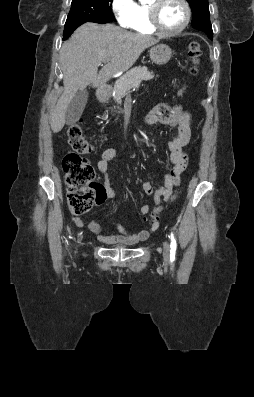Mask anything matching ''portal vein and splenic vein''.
<instances>
[{
  "mask_svg": "<svg viewBox=\"0 0 254 397\" xmlns=\"http://www.w3.org/2000/svg\"><path fill=\"white\" fill-rule=\"evenodd\" d=\"M108 62H109V60H106V61L103 62V64H106V63H108Z\"/></svg>",
  "mask_w": 254,
  "mask_h": 397,
  "instance_id": "portal-vein-and-splenic-vein-1",
  "label": "portal vein and splenic vein"
}]
</instances>
